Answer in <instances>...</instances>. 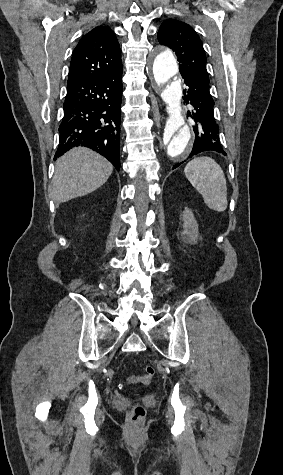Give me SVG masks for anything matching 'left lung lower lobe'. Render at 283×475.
I'll use <instances>...</instances> for the list:
<instances>
[{
	"label": "left lung lower lobe",
	"mask_w": 283,
	"mask_h": 475,
	"mask_svg": "<svg viewBox=\"0 0 283 475\" xmlns=\"http://www.w3.org/2000/svg\"><path fill=\"white\" fill-rule=\"evenodd\" d=\"M184 83L188 86L184 90L185 103L193 106L188 116L193 119L195 140L189 157L204 151H216L226 155L219 139V127L214 118V101L209 92V77L192 71L180 72ZM183 163V162H181ZM180 163L176 164V168Z\"/></svg>",
	"instance_id": "obj_1"
}]
</instances>
